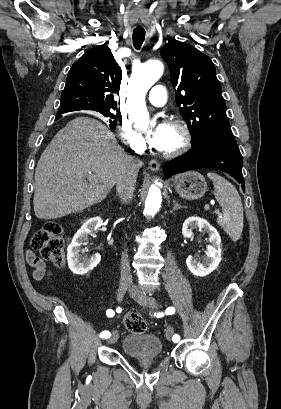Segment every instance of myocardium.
Here are the masks:
<instances>
[{
	"label": "myocardium",
	"instance_id": "myocardium-1",
	"mask_svg": "<svg viewBox=\"0 0 281 409\" xmlns=\"http://www.w3.org/2000/svg\"><path fill=\"white\" fill-rule=\"evenodd\" d=\"M167 126L178 130L182 136L181 143L176 148L170 151L158 150L162 157L172 159L184 154L191 147L193 138L190 128L182 121L170 120L167 122Z\"/></svg>",
	"mask_w": 281,
	"mask_h": 409
}]
</instances>
